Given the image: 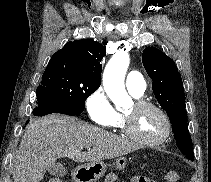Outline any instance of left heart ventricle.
<instances>
[{"label": "left heart ventricle", "instance_id": "obj_1", "mask_svg": "<svg viewBox=\"0 0 211 182\" xmlns=\"http://www.w3.org/2000/svg\"><path fill=\"white\" fill-rule=\"evenodd\" d=\"M126 114L132 119L135 133L145 140L157 139L164 131L162 117L152 108L136 109L132 105Z\"/></svg>", "mask_w": 211, "mask_h": 182}]
</instances>
